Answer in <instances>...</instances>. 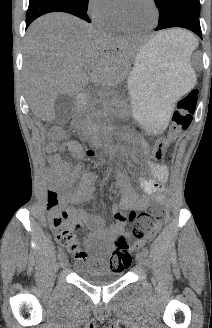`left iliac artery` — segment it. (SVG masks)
Segmentation results:
<instances>
[{
    "label": "left iliac artery",
    "mask_w": 212,
    "mask_h": 328,
    "mask_svg": "<svg viewBox=\"0 0 212 328\" xmlns=\"http://www.w3.org/2000/svg\"><path fill=\"white\" fill-rule=\"evenodd\" d=\"M142 252L146 256L148 254V248L147 247L142 248Z\"/></svg>",
    "instance_id": "left-iliac-artery-1"
}]
</instances>
